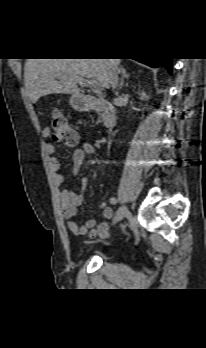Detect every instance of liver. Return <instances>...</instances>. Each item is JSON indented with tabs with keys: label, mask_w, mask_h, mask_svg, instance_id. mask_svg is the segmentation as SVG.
<instances>
[{
	"label": "liver",
	"mask_w": 206,
	"mask_h": 348,
	"mask_svg": "<svg viewBox=\"0 0 206 348\" xmlns=\"http://www.w3.org/2000/svg\"><path fill=\"white\" fill-rule=\"evenodd\" d=\"M121 59H27L24 68L25 88L32 103L42 96L80 92L76 79L97 80L106 89L111 85L110 66Z\"/></svg>",
	"instance_id": "1"
}]
</instances>
